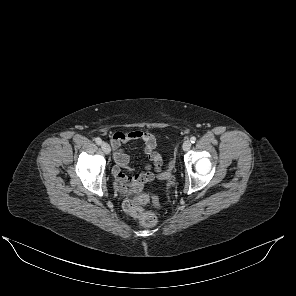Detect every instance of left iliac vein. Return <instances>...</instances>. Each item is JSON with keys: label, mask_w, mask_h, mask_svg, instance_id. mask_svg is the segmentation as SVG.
<instances>
[{"label": "left iliac vein", "mask_w": 296, "mask_h": 296, "mask_svg": "<svg viewBox=\"0 0 296 296\" xmlns=\"http://www.w3.org/2000/svg\"><path fill=\"white\" fill-rule=\"evenodd\" d=\"M182 147L184 151H188L191 148V141L185 140Z\"/></svg>", "instance_id": "left-iliac-vein-1"}]
</instances>
